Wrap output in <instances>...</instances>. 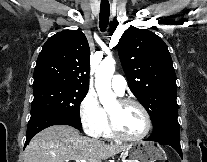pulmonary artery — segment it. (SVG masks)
<instances>
[{
	"label": "pulmonary artery",
	"mask_w": 207,
	"mask_h": 162,
	"mask_svg": "<svg viewBox=\"0 0 207 162\" xmlns=\"http://www.w3.org/2000/svg\"><path fill=\"white\" fill-rule=\"evenodd\" d=\"M111 87L118 96H123L126 91V81L121 75H115L111 81Z\"/></svg>",
	"instance_id": "e3ab8cb5"
}]
</instances>
